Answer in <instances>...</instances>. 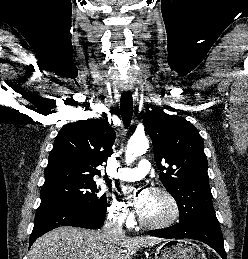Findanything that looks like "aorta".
Instances as JSON below:
<instances>
[{"label":"aorta","mask_w":248,"mask_h":259,"mask_svg":"<svg viewBox=\"0 0 248 259\" xmlns=\"http://www.w3.org/2000/svg\"><path fill=\"white\" fill-rule=\"evenodd\" d=\"M149 148V141L146 136H133L128 143L125 157L127 164L132 163L138 156L144 154Z\"/></svg>","instance_id":"762f6f07"}]
</instances>
